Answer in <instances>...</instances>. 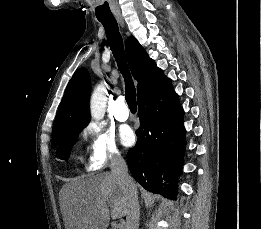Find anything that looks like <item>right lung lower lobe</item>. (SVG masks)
I'll return each instance as SVG.
<instances>
[{
	"label": "right lung lower lobe",
	"mask_w": 261,
	"mask_h": 229,
	"mask_svg": "<svg viewBox=\"0 0 261 229\" xmlns=\"http://www.w3.org/2000/svg\"><path fill=\"white\" fill-rule=\"evenodd\" d=\"M141 127L138 141L127 153L134 179L146 190L174 198L185 152L183 109L166 77L138 97Z\"/></svg>",
	"instance_id": "1"
}]
</instances>
